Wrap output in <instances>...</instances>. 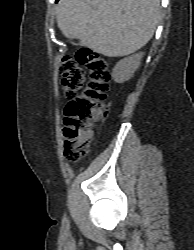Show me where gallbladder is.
Returning a JSON list of instances; mask_svg holds the SVG:
<instances>
[{
  "label": "gallbladder",
  "mask_w": 194,
  "mask_h": 250,
  "mask_svg": "<svg viewBox=\"0 0 194 250\" xmlns=\"http://www.w3.org/2000/svg\"><path fill=\"white\" fill-rule=\"evenodd\" d=\"M75 37L69 36V39H74Z\"/></svg>",
  "instance_id": "1"
}]
</instances>
